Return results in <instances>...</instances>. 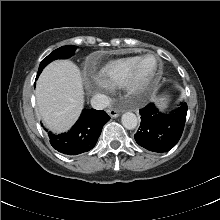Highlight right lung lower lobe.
<instances>
[{
	"mask_svg": "<svg viewBox=\"0 0 220 220\" xmlns=\"http://www.w3.org/2000/svg\"><path fill=\"white\" fill-rule=\"evenodd\" d=\"M39 74L38 72L36 79ZM109 120L105 111L84 109L69 132L58 135L48 132L50 143L54 149L67 155L87 152L95 146L103 125Z\"/></svg>",
	"mask_w": 220,
	"mask_h": 220,
	"instance_id": "98d812e1",
	"label": "right lung lower lobe"
}]
</instances>
